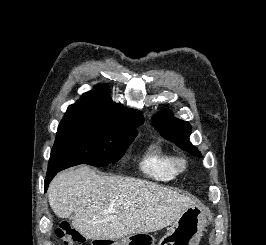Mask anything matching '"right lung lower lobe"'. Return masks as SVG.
Masks as SVG:
<instances>
[{"label":"right lung lower lobe","instance_id":"98d812e1","mask_svg":"<svg viewBox=\"0 0 266 245\" xmlns=\"http://www.w3.org/2000/svg\"><path fill=\"white\" fill-rule=\"evenodd\" d=\"M59 171L60 170L47 171V176H46V179H45V192L47 190V187H48L50 181L56 175V173L59 172Z\"/></svg>","mask_w":266,"mask_h":245}]
</instances>
